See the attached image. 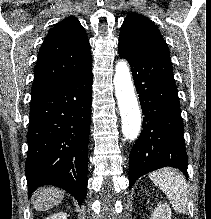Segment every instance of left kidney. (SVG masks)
Listing matches in <instances>:
<instances>
[{"mask_svg":"<svg viewBox=\"0 0 211 219\" xmlns=\"http://www.w3.org/2000/svg\"><path fill=\"white\" fill-rule=\"evenodd\" d=\"M172 213L167 203H159L151 214L150 219H172Z\"/></svg>","mask_w":211,"mask_h":219,"instance_id":"left-kidney-1","label":"left kidney"}]
</instances>
